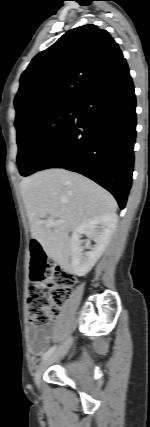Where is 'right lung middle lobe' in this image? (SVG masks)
I'll return each instance as SVG.
<instances>
[{"instance_id": "obj_1", "label": "right lung middle lobe", "mask_w": 150, "mask_h": 427, "mask_svg": "<svg viewBox=\"0 0 150 427\" xmlns=\"http://www.w3.org/2000/svg\"><path fill=\"white\" fill-rule=\"evenodd\" d=\"M76 105L39 108L16 120L17 163L22 176L36 169L72 123Z\"/></svg>"}]
</instances>
